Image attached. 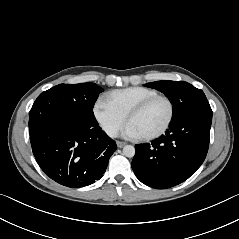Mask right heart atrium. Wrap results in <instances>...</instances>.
I'll return each instance as SVG.
<instances>
[{
	"mask_svg": "<svg viewBox=\"0 0 239 239\" xmlns=\"http://www.w3.org/2000/svg\"><path fill=\"white\" fill-rule=\"evenodd\" d=\"M94 116L102 130L115 137L126 121V115L110 105L105 99H99L93 107Z\"/></svg>",
	"mask_w": 239,
	"mask_h": 239,
	"instance_id": "1",
	"label": "right heart atrium"
}]
</instances>
